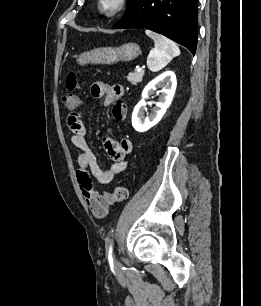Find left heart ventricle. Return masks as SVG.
Instances as JSON below:
<instances>
[{
  "instance_id": "left-heart-ventricle-1",
  "label": "left heart ventricle",
  "mask_w": 261,
  "mask_h": 306,
  "mask_svg": "<svg viewBox=\"0 0 261 306\" xmlns=\"http://www.w3.org/2000/svg\"><path fill=\"white\" fill-rule=\"evenodd\" d=\"M112 7V2L111 1H108L105 3V8L106 9H110Z\"/></svg>"
}]
</instances>
